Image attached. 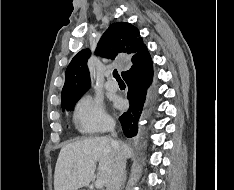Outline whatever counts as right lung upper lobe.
I'll use <instances>...</instances> for the list:
<instances>
[{
  "label": "right lung upper lobe",
  "mask_w": 234,
  "mask_h": 190,
  "mask_svg": "<svg viewBox=\"0 0 234 190\" xmlns=\"http://www.w3.org/2000/svg\"><path fill=\"white\" fill-rule=\"evenodd\" d=\"M145 49L146 46L143 44L139 30L129 23L120 22L110 25L105 31L98 43L96 53L111 60L124 54L131 57L133 62ZM89 57V49L82 50L75 55L68 65L65 84L62 89V104L80 98L89 89L90 75L87 67Z\"/></svg>",
  "instance_id": "obj_1"
}]
</instances>
